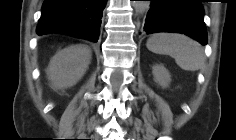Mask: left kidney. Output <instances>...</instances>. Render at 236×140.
<instances>
[{
  "label": "left kidney",
  "mask_w": 236,
  "mask_h": 140,
  "mask_svg": "<svg viewBox=\"0 0 236 140\" xmlns=\"http://www.w3.org/2000/svg\"><path fill=\"white\" fill-rule=\"evenodd\" d=\"M153 76L155 81L162 87H167L171 81V76L169 71L162 65L153 66Z\"/></svg>",
  "instance_id": "1"
}]
</instances>
